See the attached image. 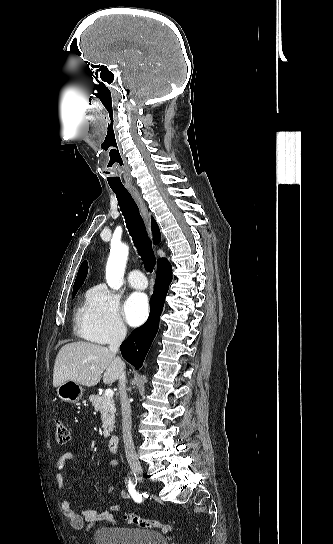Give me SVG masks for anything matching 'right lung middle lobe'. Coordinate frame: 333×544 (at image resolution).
<instances>
[{
    "mask_svg": "<svg viewBox=\"0 0 333 544\" xmlns=\"http://www.w3.org/2000/svg\"><path fill=\"white\" fill-rule=\"evenodd\" d=\"M77 291H78V290H76V291H73V295H72V297H74V296L76 295Z\"/></svg>",
    "mask_w": 333,
    "mask_h": 544,
    "instance_id": "obj_1",
    "label": "right lung middle lobe"
}]
</instances>
